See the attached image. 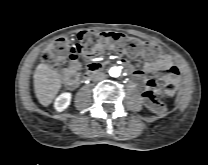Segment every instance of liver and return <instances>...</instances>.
<instances>
[{"instance_id":"obj_1","label":"liver","mask_w":208,"mask_h":165,"mask_svg":"<svg viewBox=\"0 0 208 165\" xmlns=\"http://www.w3.org/2000/svg\"><path fill=\"white\" fill-rule=\"evenodd\" d=\"M60 88L61 79L57 71L40 63L34 73V89L40 104L45 107L50 105Z\"/></svg>"}]
</instances>
